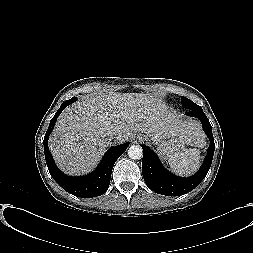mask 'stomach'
Masks as SVG:
<instances>
[{"instance_id":"obj_1","label":"stomach","mask_w":253,"mask_h":253,"mask_svg":"<svg viewBox=\"0 0 253 253\" xmlns=\"http://www.w3.org/2000/svg\"><path fill=\"white\" fill-rule=\"evenodd\" d=\"M147 139V136L145 137ZM156 144V150L162 159H168V157L174 152L181 150L188 145L185 141L175 136H164L154 142Z\"/></svg>"}]
</instances>
